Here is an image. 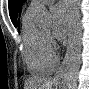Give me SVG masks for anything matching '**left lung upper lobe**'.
<instances>
[{"label":"left lung upper lobe","instance_id":"5c2ea615","mask_svg":"<svg viewBox=\"0 0 89 89\" xmlns=\"http://www.w3.org/2000/svg\"><path fill=\"white\" fill-rule=\"evenodd\" d=\"M24 1L25 0H8L9 14L14 25L16 23L18 8Z\"/></svg>","mask_w":89,"mask_h":89}]
</instances>
